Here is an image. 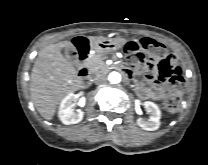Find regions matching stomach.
Segmentation results:
<instances>
[{"instance_id":"stomach-1","label":"stomach","mask_w":208,"mask_h":165,"mask_svg":"<svg viewBox=\"0 0 208 165\" xmlns=\"http://www.w3.org/2000/svg\"><path fill=\"white\" fill-rule=\"evenodd\" d=\"M90 47L98 53L112 52L119 50L126 43L121 37L115 38H95L90 39Z\"/></svg>"}]
</instances>
